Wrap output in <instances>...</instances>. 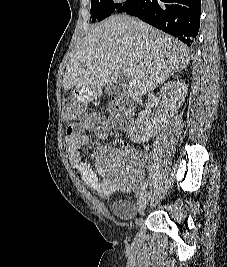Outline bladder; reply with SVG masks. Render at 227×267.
Wrapping results in <instances>:
<instances>
[{
  "label": "bladder",
  "instance_id": "1",
  "mask_svg": "<svg viewBox=\"0 0 227 267\" xmlns=\"http://www.w3.org/2000/svg\"><path fill=\"white\" fill-rule=\"evenodd\" d=\"M112 211L116 218L124 222H129L135 219L138 214L135 211L133 202L129 199L115 200L112 204Z\"/></svg>",
  "mask_w": 227,
  "mask_h": 267
}]
</instances>
